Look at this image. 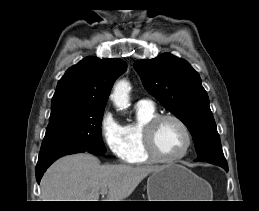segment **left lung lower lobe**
I'll list each match as a JSON object with an SVG mask.
<instances>
[{
    "instance_id": "1",
    "label": "left lung lower lobe",
    "mask_w": 259,
    "mask_h": 211,
    "mask_svg": "<svg viewBox=\"0 0 259 211\" xmlns=\"http://www.w3.org/2000/svg\"><path fill=\"white\" fill-rule=\"evenodd\" d=\"M226 171H228V165L223 167Z\"/></svg>"
}]
</instances>
